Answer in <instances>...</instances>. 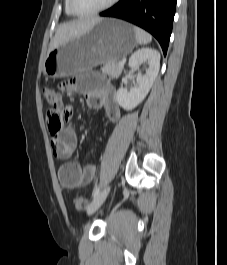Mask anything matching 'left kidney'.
Segmentation results:
<instances>
[{
	"label": "left kidney",
	"mask_w": 227,
	"mask_h": 265,
	"mask_svg": "<svg viewBox=\"0 0 227 265\" xmlns=\"http://www.w3.org/2000/svg\"><path fill=\"white\" fill-rule=\"evenodd\" d=\"M148 61V69L145 74L136 78V86L128 92L125 88H119L116 100L124 110H132L138 106L147 96L160 68V53L151 48H142L136 51L129 59V67L136 70L139 65Z\"/></svg>",
	"instance_id": "5707ae66"
}]
</instances>
